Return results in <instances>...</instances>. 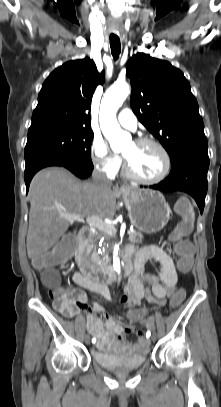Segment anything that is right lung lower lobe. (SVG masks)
<instances>
[{"label":"right lung lower lobe","instance_id":"98d812e1","mask_svg":"<svg viewBox=\"0 0 221 407\" xmlns=\"http://www.w3.org/2000/svg\"><path fill=\"white\" fill-rule=\"evenodd\" d=\"M48 166H62L70 170L79 178H87L92 173V169L85 168L70 160L52 153L39 154L26 162L25 167V184L27 191L30 181L37 171Z\"/></svg>","mask_w":221,"mask_h":407}]
</instances>
